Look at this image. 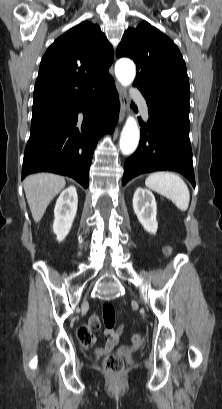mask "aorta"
Segmentation results:
<instances>
[{
	"instance_id": "762f6f07",
	"label": "aorta",
	"mask_w": 222,
	"mask_h": 409,
	"mask_svg": "<svg viewBox=\"0 0 222 409\" xmlns=\"http://www.w3.org/2000/svg\"><path fill=\"white\" fill-rule=\"evenodd\" d=\"M135 65L128 59H120L115 65V75L123 86L130 85L135 78ZM140 133L137 121L134 117L129 116L120 137V150L124 155L132 154L139 143Z\"/></svg>"
}]
</instances>
